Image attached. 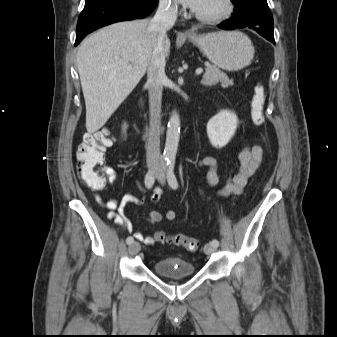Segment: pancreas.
Returning a JSON list of instances; mask_svg holds the SVG:
<instances>
[{
	"mask_svg": "<svg viewBox=\"0 0 337 337\" xmlns=\"http://www.w3.org/2000/svg\"><path fill=\"white\" fill-rule=\"evenodd\" d=\"M206 69L205 74L201 83L205 86H213L217 83H221L223 88L233 85V80L229 79L228 76L222 72L217 66L211 65L210 63H205Z\"/></svg>",
	"mask_w": 337,
	"mask_h": 337,
	"instance_id": "pancreas-1",
	"label": "pancreas"
}]
</instances>
